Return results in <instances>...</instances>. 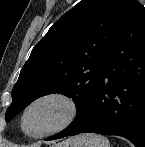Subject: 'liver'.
Here are the masks:
<instances>
[{
	"mask_svg": "<svg viewBox=\"0 0 145 147\" xmlns=\"http://www.w3.org/2000/svg\"><path fill=\"white\" fill-rule=\"evenodd\" d=\"M76 138H72L68 141H65L63 143H60L58 145H56V147H68L69 145L73 144Z\"/></svg>",
	"mask_w": 145,
	"mask_h": 147,
	"instance_id": "liver-1",
	"label": "liver"
}]
</instances>
